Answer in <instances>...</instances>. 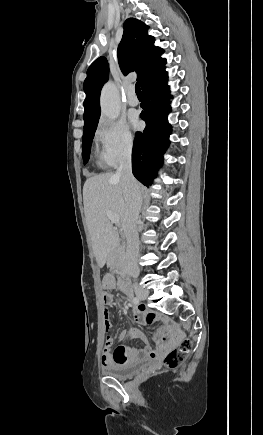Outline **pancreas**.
Here are the masks:
<instances>
[{"mask_svg":"<svg viewBox=\"0 0 263 435\" xmlns=\"http://www.w3.org/2000/svg\"><path fill=\"white\" fill-rule=\"evenodd\" d=\"M108 263L120 273L124 268V249L122 246L118 245L110 254Z\"/></svg>","mask_w":263,"mask_h":435,"instance_id":"cf45deb5","label":"pancreas"}]
</instances>
